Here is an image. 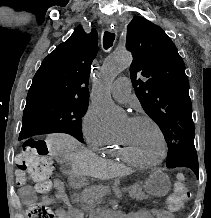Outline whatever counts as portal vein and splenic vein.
<instances>
[{"label": "portal vein and splenic vein", "instance_id": "1", "mask_svg": "<svg viewBox=\"0 0 211 218\" xmlns=\"http://www.w3.org/2000/svg\"><path fill=\"white\" fill-rule=\"evenodd\" d=\"M122 189H125L127 192L130 190L128 187L126 186H122Z\"/></svg>", "mask_w": 211, "mask_h": 218}]
</instances>
